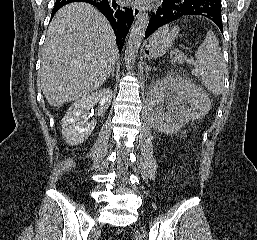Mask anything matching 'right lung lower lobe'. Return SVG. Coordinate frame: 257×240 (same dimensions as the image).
Masks as SVG:
<instances>
[{"label": "right lung lower lobe", "mask_w": 257, "mask_h": 240, "mask_svg": "<svg viewBox=\"0 0 257 240\" xmlns=\"http://www.w3.org/2000/svg\"><path fill=\"white\" fill-rule=\"evenodd\" d=\"M77 1L90 3L105 15L114 30L117 45L119 51H121L134 19L132 8L121 6L115 0H56L51 16L62 6Z\"/></svg>", "instance_id": "right-lung-lower-lobe-1"}]
</instances>
